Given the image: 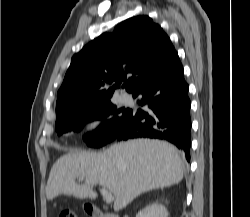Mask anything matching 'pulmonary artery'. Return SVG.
<instances>
[{
  "mask_svg": "<svg viewBox=\"0 0 250 217\" xmlns=\"http://www.w3.org/2000/svg\"><path fill=\"white\" fill-rule=\"evenodd\" d=\"M119 100L122 102V103H128L130 101V97L126 94H121L119 96Z\"/></svg>",
  "mask_w": 250,
  "mask_h": 217,
  "instance_id": "pulmonary-artery-1",
  "label": "pulmonary artery"
}]
</instances>
